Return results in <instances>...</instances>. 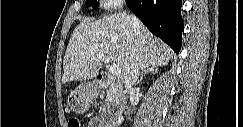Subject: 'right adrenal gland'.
I'll return each instance as SVG.
<instances>
[{"instance_id":"obj_1","label":"right adrenal gland","mask_w":243,"mask_h":127,"mask_svg":"<svg viewBox=\"0 0 243 127\" xmlns=\"http://www.w3.org/2000/svg\"><path fill=\"white\" fill-rule=\"evenodd\" d=\"M157 72H158L157 66L148 67L147 69L143 70L141 77L137 83L139 84L142 81L143 77H145L147 74H152V73L155 74Z\"/></svg>"}]
</instances>
